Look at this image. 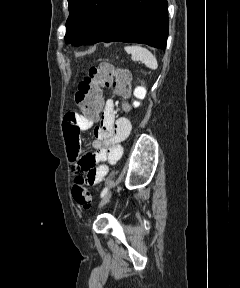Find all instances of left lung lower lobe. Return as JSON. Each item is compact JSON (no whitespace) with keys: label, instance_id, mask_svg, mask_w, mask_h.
<instances>
[{"label":"left lung lower lobe","instance_id":"1","mask_svg":"<svg viewBox=\"0 0 240 288\" xmlns=\"http://www.w3.org/2000/svg\"><path fill=\"white\" fill-rule=\"evenodd\" d=\"M167 0H109L94 32L84 43L131 42L165 50Z\"/></svg>","mask_w":240,"mask_h":288}]
</instances>
